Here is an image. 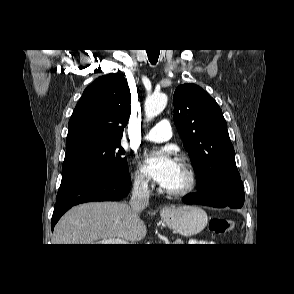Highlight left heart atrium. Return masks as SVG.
Returning a JSON list of instances; mask_svg holds the SVG:
<instances>
[{
    "label": "left heart atrium",
    "instance_id": "left-heart-atrium-1",
    "mask_svg": "<svg viewBox=\"0 0 294 294\" xmlns=\"http://www.w3.org/2000/svg\"><path fill=\"white\" fill-rule=\"evenodd\" d=\"M176 161L167 150L148 153L143 158V171L158 184L165 186L171 178Z\"/></svg>",
    "mask_w": 294,
    "mask_h": 294
}]
</instances>
